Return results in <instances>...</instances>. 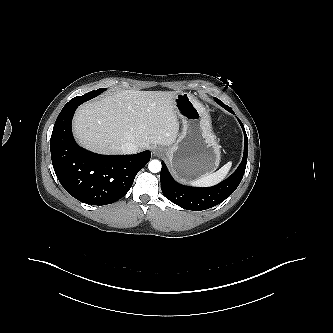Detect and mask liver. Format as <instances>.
<instances>
[{
	"mask_svg": "<svg viewBox=\"0 0 333 333\" xmlns=\"http://www.w3.org/2000/svg\"><path fill=\"white\" fill-rule=\"evenodd\" d=\"M179 91L123 90L78 108L73 131L85 148L99 153H120L130 142L142 151L172 145L179 123L174 98Z\"/></svg>",
	"mask_w": 333,
	"mask_h": 333,
	"instance_id": "1",
	"label": "liver"
}]
</instances>
